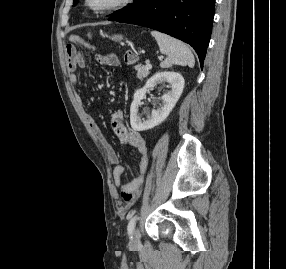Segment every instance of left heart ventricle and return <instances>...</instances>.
<instances>
[{
    "label": "left heart ventricle",
    "instance_id": "1",
    "mask_svg": "<svg viewBox=\"0 0 286 269\" xmlns=\"http://www.w3.org/2000/svg\"><path fill=\"white\" fill-rule=\"evenodd\" d=\"M117 0H92V5L94 7H102V6H107Z\"/></svg>",
    "mask_w": 286,
    "mask_h": 269
}]
</instances>
